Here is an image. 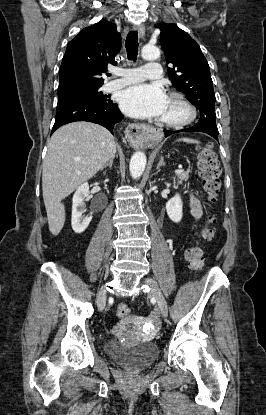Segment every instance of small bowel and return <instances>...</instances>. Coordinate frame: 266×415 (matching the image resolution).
<instances>
[{
    "mask_svg": "<svg viewBox=\"0 0 266 415\" xmlns=\"http://www.w3.org/2000/svg\"><path fill=\"white\" fill-rule=\"evenodd\" d=\"M189 205H190V212L191 215L195 220H199L203 214L202 205L200 200L194 196L193 194H190L189 196Z\"/></svg>",
    "mask_w": 266,
    "mask_h": 415,
    "instance_id": "small-bowel-1",
    "label": "small bowel"
}]
</instances>
